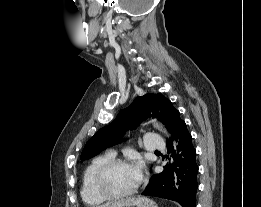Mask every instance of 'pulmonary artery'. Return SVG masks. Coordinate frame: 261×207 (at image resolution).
<instances>
[{
  "label": "pulmonary artery",
  "instance_id": "pulmonary-artery-1",
  "mask_svg": "<svg viewBox=\"0 0 261 207\" xmlns=\"http://www.w3.org/2000/svg\"><path fill=\"white\" fill-rule=\"evenodd\" d=\"M145 139L146 149L149 151L163 150L166 147L165 142L158 134L148 133ZM111 154L114 155V152H111Z\"/></svg>",
  "mask_w": 261,
  "mask_h": 207
}]
</instances>
